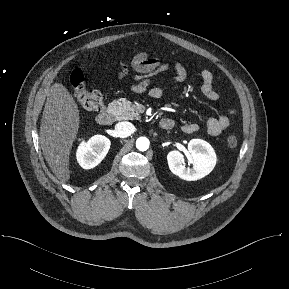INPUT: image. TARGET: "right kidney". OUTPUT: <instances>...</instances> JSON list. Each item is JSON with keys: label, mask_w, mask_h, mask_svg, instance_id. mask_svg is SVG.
<instances>
[{"label": "right kidney", "mask_w": 289, "mask_h": 289, "mask_svg": "<svg viewBox=\"0 0 289 289\" xmlns=\"http://www.w3.org/2000/svg\"><path fill=\"white\" fill-rule=\"evenodd\" d=\"M110 145V140L103 135H94L87 142L82 141L76 152L79 165L84 169L96 167L108 153Z\"/></svg>", "instance_id": "obj_1"}]
</instances>
